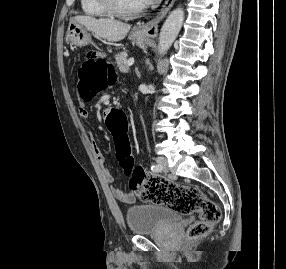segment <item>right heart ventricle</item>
Here are the masks:
<instances>
[{"label": "right heart ventricle", "mask_w": 286, "mask_h": 269, "mask_svg": "<svg viewBox=\"0 0 286 269\" xmlns=\"http://www.w3.org/2000/svg\"><path fill=\"white\" fill-rule=\"evenodd\" d=\"M82 12L90 17L105 18L108 14L102 9L98 0H80Z\"/></svg>", "instance_id": "obj_1"}]
</instances>
